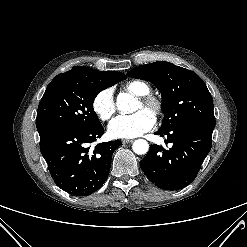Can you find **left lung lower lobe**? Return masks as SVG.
<instances>
[{
  "label": "left lung lower lobe",
  "instance_id": "0a47b994",
  "mask_svg": "<svg viewBox=\"0 0 247 247\" xmlns=\"http://www.w3.org/2000/svg\"><path fill=\"white\" fill-rule=\"evenodd\" d=\"M212 132L201 126L184 124L170 130L159 129L155 134L167 136L170 149L153 144L140 167L148 179L164 190L186 187L196 178L203 160L209 153Z\"/></svg>",
  "mask_w": 247,
  "mask_h": 247
}]
</instances>
